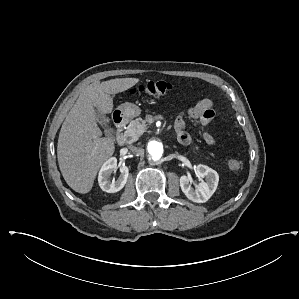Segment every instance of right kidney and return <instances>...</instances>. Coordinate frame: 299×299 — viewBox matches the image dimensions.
Segmentation results:
<instances>
[{"label":"right kidney","instance_id":"obj_1","mask_svg":"<svg viewBox=\"0 0 299 299\" xmlns=\"http://www.w3.org/2000/svg\"><path fill=\"white\" fill-rule=\"evenodd\" d=\"M117 168V159L115 157L109 158L104 164L102 165L99 175H98V182L101 189L108 193H115L120 191L126 184L129 169L127 166H122L120 168V176L117 180L113 179L110 182L109 178L113 171Z\"/></svg>","mask_w":299,"mask_h":299}]
</instances>
